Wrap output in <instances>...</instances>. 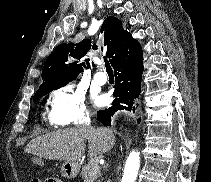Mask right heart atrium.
Segmentation results:
<instances>
[{"label": "right heart atrium", "instance_id": "obj_1", "mask_svg": "<svg viewBox=\"0 0 211 182\" xmlns=\"http://www.w3.org/2000/svg\"><path fill=\"white\" fill-rule=\"evenodd\" d=\"M50 103V119L55 125L83 124L90 117L83 93L73 87L54 91L50 96Z\"/></svg>", "mask_w": 211, "mask_h": 182}]
</instances>
